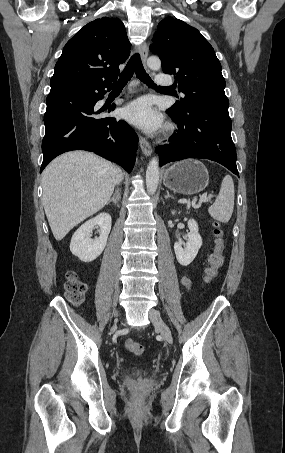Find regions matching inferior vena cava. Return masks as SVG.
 Returning <instances> with one entry per match:
<instances>
[{
    "mask_svg": "<svg viewBox=\"0 0 285 453\" xmlns=\"http://www.w3.org/2000/svg\"><path fill=\"white\" fill-rule=\"evenodd\" d=\"M121 176H122V174H121V170L119 169V180H118V183H119V182H120V180H121Z\"/></svg>",
    "mask_w": 285,
    "mask_h": 453,
    "instance_id": "inferior-vena-cava-1",
    "label": "inferior vena cava"
}]
</instances>
